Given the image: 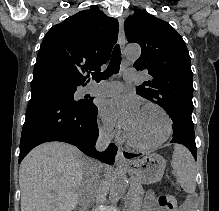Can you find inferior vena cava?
<instances>
[{"label": "inferior vena cava", "instance_id": "602c4592", "mask_svg": "<svg viewBox=\"0 0 219 211\" xmlns=\"http://www.w3.org/2000/svg\"><path fill=\"white\" fill-rule=\"evenodd\" d=\"M112 139L111 133H106L103 131L101 135H99L96 141V149L98 151H104L106 147H108V143H110ZM92 165L89 170V174H86V179L84 183H80V188H77V193H80L81 203H83L84 207H92L93 201L96 193V188L100 187V179L99 175H104L103 167L105 165L104 161H96L93 159Z\"/></svg>", "mask_w": 219, "mask_h": 211}]
</instances>
